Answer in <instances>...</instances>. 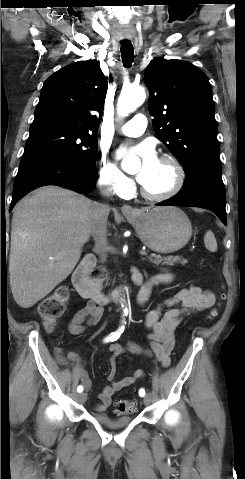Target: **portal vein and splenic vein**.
I'll return each instance as SVG.
<instances>
[{"label":"portal vein and splenic vein","mask_w":245,"mask_h":479,"mask_svg":"<svg viewBox=\"0 0 245 479\" xmlns=\"http://www.w3.org/2000/svg\"><path fill=\"white\" fill-rule=\"evenodd\" d=\"M140 254L146 256V255H147V252H145V251H140Z\"/></svg>","instance_id":"18ae733b"}]
</instances>
